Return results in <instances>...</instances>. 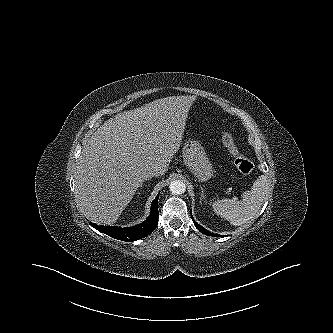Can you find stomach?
<instances>
[{"instance_id": "1", "label": "stomach", "mask_w": 333, "mask_h": 333, "mask_svg": "<svg viewBox=\"0 0 333 333\" xmlns=\"http://www.w3.org/2000/svg\"><path fill=\"white\" fill-rule=\"evenodd\" d=\"M182 153L184 164L197 179L207 181L213 176L212 164L199 140L188 138Z\"/></svg>"}]
</instances>
